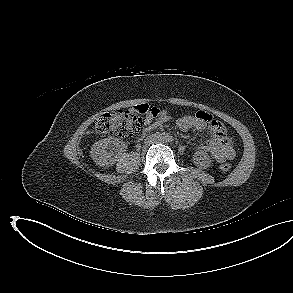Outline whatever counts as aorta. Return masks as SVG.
<instances>
[{
  "label": "aorta",
  "mask_w": 293,
  "mask_h": 293,
  "mask_svg": "<svg viewBox=\"0 0 293 293\" xmlns=\"http://www.w3.org/2000/svg\"><path fill=\"white\" fill-rule=\"evenodd\" d=\"M161 140L164 141V142H167L169 140V135L168 134H165V133L162 134L161 135Z\"/></svg>",
  "instance_id": "762f6f07"
}]
</instances>
